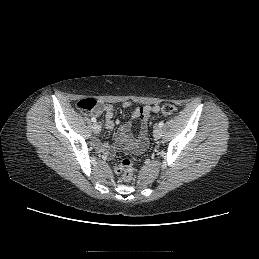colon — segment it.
<instances>
[{"label": "colon", "mask_w": 259, "mask_h": 259, "mask_svg": "<svg viewBox=\"0 0 259 259\" xmlns=\"http://www.w3.org/2000/svg\"><path fill=\"white\" fill-rule=\"evenodd\" d=\"M77 106H78V109L81 110L82 112L89 113V112L96 111L102 105L99 102H97L95 99L86 98V99L80 100ZM160 112L163 115H171L177 112V108L173 105L165 104L161 106ZM148 114H149L148 110L145 107H141V115L145 117ZM115 172L120 176V179L123 183L131 182L134 174V167H133L132 160L129 158H125L122 161H120L115 166Z\"/></svg>", "instance_id": "1"}]
</instances>
